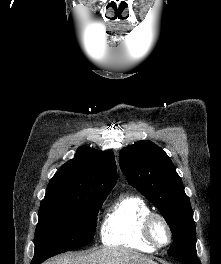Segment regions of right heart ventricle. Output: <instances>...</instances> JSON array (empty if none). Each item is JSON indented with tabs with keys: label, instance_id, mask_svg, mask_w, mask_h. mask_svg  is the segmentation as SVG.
<instances>
[{
	"label": "right heart ventricle",
	"instance_id": "1",
	"mask_svg": "<svg viewBox=\"0 0 221 264\" xmlns=\"http://www.w3.org/2000/svg\"><path fill=\"white\" fill-rule=\"evenodd\" d=\"M151 212L143 198L132 193L121 194L107 209L101 225V241L105 246L129 248L152 253L144 238L142 225Z\"/></svg>",
	"mask_w": 221,
	"mask_h": 264
}]
</instances>
